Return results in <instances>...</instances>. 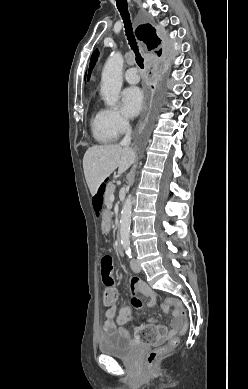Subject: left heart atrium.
<instances>
[{"mask_svg":"<svg viewBox=\"0 0 248 389\" xmlns=\"http://www.w3.org/2000/svg\"><path fill=\"white\" fill-rule=\"evenodd\" d=\"M124 112L130 116H136L143 106V94L137 87L126 88L121 95Z\"/></svg>","mask_w":248,"mask_h":389,"instance_id":"obj_1","label":"left heart atrium"}]
</instances>
